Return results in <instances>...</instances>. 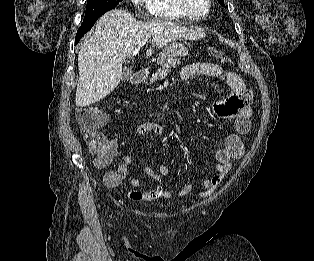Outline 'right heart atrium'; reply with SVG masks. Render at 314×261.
<instances>
[{"label": "right heart atrium", "instance_id": "obj_1", "mask_svg": "<svg viewBox=\"0 0 314 261\" xmlns=\"http://www.w3.org/2000/svg\"><path fill=\"white\" fill-rule=\"evenodd\" d=\"M148 0H131V3L136 9H141L146 6Z\"/></svg>", "mask_w": 314, "mask_h": 261}]
</instances>
